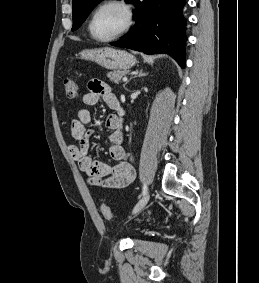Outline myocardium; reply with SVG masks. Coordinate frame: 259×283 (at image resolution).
Here are the masks:
<instances>
[{
	"mask_svg": "<svg viewBox=\"0 0 259 283\" xmlns=\"http://www.w3.org/2000/svg\"><path fill=\"white\" fill-rule=\"evenodd\" d=\"M112 5L119 6L123 9V11L126 14V23H125L124 27L118 33H116L115 35H113L111 37H108V38L96 37L93 33V30H92L94 19H95L96 15L102 9H104L108 6H112ZM133 23H134V11H133V8L131 7V5L126 0H105L104 2L99 4L93 10L91 17L89 19V23H88V31H89V34L92 37V39H94L95 41L111 42V41L116 40V39L122 37L123 35H125L131 29Z\"/></svg>",
	"mask_w": 259,
	"mask_h": 283,
	"instance_id": "myocardium-1",
	"label": "myocardium"
}]
</instances>
